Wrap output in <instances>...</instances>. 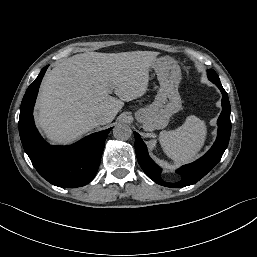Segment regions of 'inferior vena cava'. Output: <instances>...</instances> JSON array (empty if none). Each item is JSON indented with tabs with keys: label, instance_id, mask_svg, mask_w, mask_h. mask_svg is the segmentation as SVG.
<instances>
[{
	"label": "inferior vena cava",
	"instance_id": "1",
	"mask_svg": "<svg viewBox=\"0 0 257 257\" xmlns=\"http://www.w3.org/2000/svg\"><path fill=\"white\" fill-rule=\"evenodd\" d=\"M110 115L109 114H103V115H99L96 119L98 124H105L107 122H109L110 120Z\"/></svg>",
	"mask_w": 257,
	"mask_h": 257
}]
</instances>
